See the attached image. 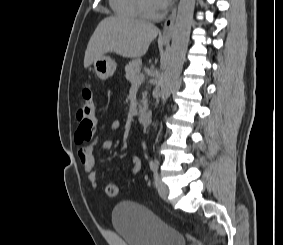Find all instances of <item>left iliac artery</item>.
<instances>
[{
	"label": "left iliac artery",
	"mask_w": 283,
	"mask_h": 245,
	"mask_svg": "<svg viewBox=\"0 0 283 245\" xmlns=\"http://www.w3.org/2000/svg\"><path fill=\"white\" fill-rule=\"evenodd\" d=\"M149 166H150V169L154 172V173H157V170H158V163L153 160V159H150L149 161Z\"/></svg>",
	"instance_id": "obj_1"
}]
</instances>
